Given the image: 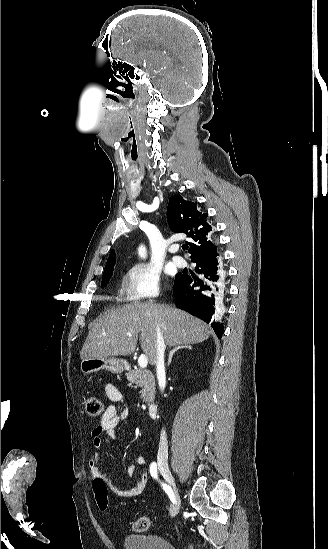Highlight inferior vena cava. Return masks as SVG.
<instances>
[{
	"label": "inferior vena cava",
	"instance_id": "602c4592",
	"mask_svg": "<svg viewBox=\"0 0 328 549\" xmlns=\"http://www.w3.org/2000/svg\"><path fill=\"white\" fill-rule=\"evenodd\" d=\"M164 351H165V343H164L163 335L160 329H156V367H157V377L159 381L160 391H164L165 385H166L165 367H164ZM161 379H163L162 383H161ZM167 451H168L167 435L164 429H162L161 435H160V441H159L158 459H161V457H164V455H167Z\"/></svg>",
	"mask_w": 328,
	"mask_h": 549
}]
</instances>
